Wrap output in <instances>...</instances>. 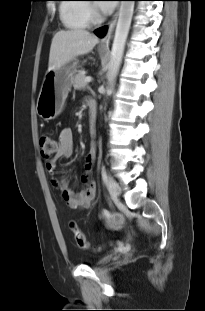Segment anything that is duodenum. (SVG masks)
<instances>
[{"mask_svg": "<svg viewBox=\"0 0 205 311\" xmlns=\"http://www.w3.org/2000/svg\"><path fill=\"white\" fill-rule=\"evenodd\" d=\"M90 110H91V112H95V110H96V103L95 102H90Z\"/></svg>", "mask_w": 205, "mask_h": 311, "instance_id": "duodenum-1", "label": "duodenum"}]
</instances>
